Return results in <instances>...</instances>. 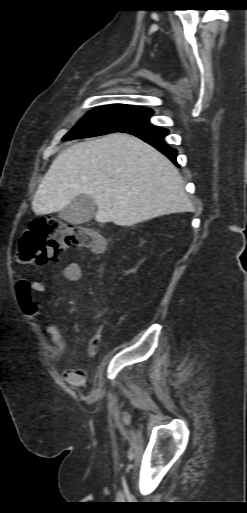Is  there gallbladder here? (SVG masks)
Here are the masks:
<instances>
[{"label":"gallbladder","mask_w":247,"mask_h":513,"mask_svg":"<svg viewBox=\"0 0 247 513\" xmlns=\"http://www.w3.org/2000/svg\"><path fill=\"white\" fill-rule=\"evenodd\" d=\"M97 210L94 199L87 195L77 196L71 204L60 211L59 217L71 224H82L90 221Z\"/></svg>","instance_id":"gallbladder-1"}]
</instances>
